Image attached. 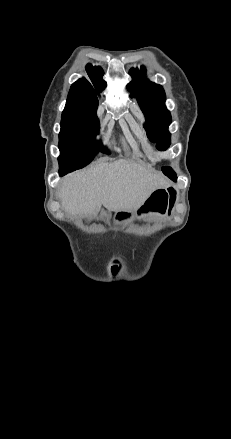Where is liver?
<instances>
[{"label":"liver","instance_id":"liver-1","mask_svg":"<svg viewBox=\"0 0 231 439\" xmlns=\"http://www.w3.org/2000/svg\"><path fill=\"white\" fill-rule=\"evenodd\" d=\"M167 185L161 173L120 159L67 175L58 194L67 213L86 216L101 205L114 211L137 209L154 190Z\"/></svg>","mask_w":231,"mask_h":439}]
</instances>
